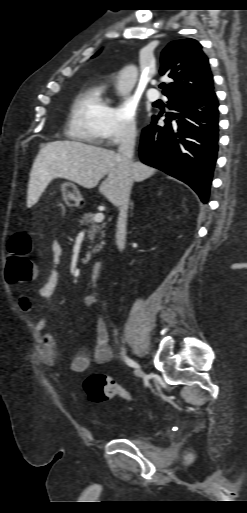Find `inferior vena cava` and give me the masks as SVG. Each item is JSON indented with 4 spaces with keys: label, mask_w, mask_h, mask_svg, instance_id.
Wrapping results in <instances>:
<instances>
[{
    "label": "inferior vena cava",
    "mask_w": 247,
    "mask_h": 513,
    "mask_svg": "<svg viewBox=\"0 0 247 513\" xmlns=\"http://www.w3.org/2000/svg\"><path fill=\"white\" fill-rule=\"evenodd\" d=\"M135 140L136 130L133 128L126 129L121 137L118 148V158L124 164V168L127 174H132L134 171L133 154ZM130 190L131 187L129 186V184L122 185L119 196L117 197V200L114 201V204L118 206L120 211L118 218V230L116 236V244L120 251H122L125 247V224L129 208Z\"/></svg>",
    "instance_id": "inferior-vena-cava-1"
}]
</instances>
